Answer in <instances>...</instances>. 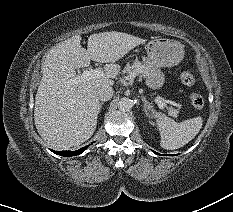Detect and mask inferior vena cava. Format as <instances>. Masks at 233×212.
Listing matches in <instances>:
<instances>
[{
  "mask_svg": "<svg viewBox=\"0 0 233 212\" xmlns=\"http://www.w3.org/2000/svg\"><path fill=\"white\" fill-rule=\"evenodd\" d=\"M113 88L109 85H101L99 86L96 91V97L100 101H107L113 96Z\"/></svg>",
  "mask_w": 233,
  "mask_h": 212,
  "instance_id": "inferior-vena-cava-1",
  "label": "inferior vena cava"
}]
</instances>
